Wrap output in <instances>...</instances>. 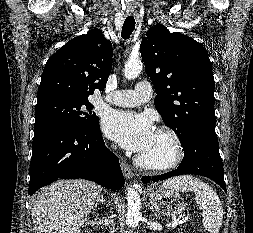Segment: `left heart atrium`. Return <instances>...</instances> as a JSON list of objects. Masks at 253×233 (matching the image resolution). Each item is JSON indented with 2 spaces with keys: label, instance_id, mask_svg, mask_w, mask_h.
<instances>
[{
  "label": "left heart atrium",
  "instance_id": "1",
  "mask_svg": "<svg viewBox=\"0 0 253 233\" xmlns=\"http://www.w3.org/2000/svg\"><path fill=\"white\" fill-rule=\"evenodd\" d=\"M104 134L123 148L143 152L151 143L155 128L146 114L131 111H112L102 121Z\"/></svg>",
  "mask_w": 253,
  "mask_h": 233
}]
</instances>
